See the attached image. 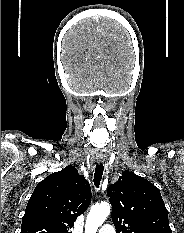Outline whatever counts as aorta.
Masks as SVG:
<instances>
[{
  "label": "aorta",
  "mask_w": 184,
  "mask_h": 233,
  "mask_svg": "<svg viewBox=\"0 0 184 233\" xmlns=\"http://www.w3.org/2000/svg\"><path fill=\"white\" fill-rule=\"evenodd\" d=\"M111 206L107 202L97 204L91 208L85 224V233H96L98 228L109 216Z\"/></svg>",
  "instance_id": "obj_1"
}]
</instances>
